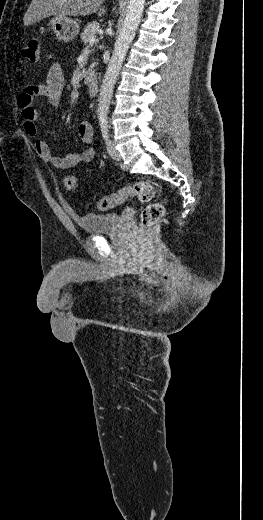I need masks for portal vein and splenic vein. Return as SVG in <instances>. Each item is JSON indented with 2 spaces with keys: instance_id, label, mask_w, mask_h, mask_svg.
Listing matches in <instances>:
<instances>
[{
  "instance_id": "1",
  "label": "portal vein and splenic vein",
  "mask_w": 263,
  "mask_h": 520,
  "mask_svg": "<svg viewBox=\"0 0 263 520\" xmlns=\"http://www.w3.org/2000/svg\"><path fill=\"white\" fill-rule=\"evenodd\" d=\"M95 41H96V37H95V36H92V37L90 38V40H89V45L92 46V45L95 43Z\"/></svg>"
}]
</instances>
